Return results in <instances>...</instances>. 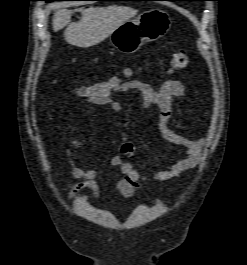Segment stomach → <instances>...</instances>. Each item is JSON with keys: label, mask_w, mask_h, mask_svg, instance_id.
I'll return each instance as SVG.
<instances>
[{"label": "stomach", "mask_w": 247, "mask_h": 265, "mask_svg": "<svg viewBox=\"0 0 247 265\" xmlns=\"http://www.w3.org/2000/svg\"><path fill=\"white\" fill-rule=\"evenodd\" d=\"M170 27L171 19L165 11L150 9L119 26L110 35V41L121 53L132 54L145 43L163 37Z\"/></svg>", "instance_id": "stomach-1"}]
</instances>
